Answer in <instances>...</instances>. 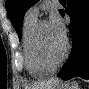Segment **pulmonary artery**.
Returning <instances> with one entry per match:
<instances>
[{
	"label": "pulmonary artery",
	"instance_id": "e3ab8cb5",
	"mask_svg": "<svg viewBox=\"0 0 89 89\" xmlns=\"http://www.w3.org/2000/svg\"><path fill=\"white\" fill-rule=\"evenodd\" d=\"M44 3H48V1H44ZM27 13L30 14V15H33V16H37L38 13H39L38 6H37V5L32 6V7L28 10Z\"/></svg>",
	"mask_w": 89,
	"mask_h": 89
}]
</instances>
